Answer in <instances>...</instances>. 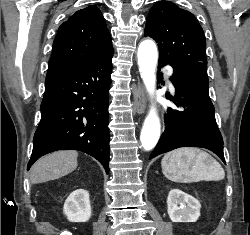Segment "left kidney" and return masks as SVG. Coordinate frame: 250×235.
Wrapping results in <instances>:
<instances>
[{"label":"left kidney","instance_id":"obj_1","mask_svg":"<svg viewBox=\"0 0 250 235\" xmlns=\"http://www.w3.org/2000/svg\"><path fill=\"white\" fill-rule=\"evenodd\" d=\"M167 212L172 222H196L200 216V202L182 190L172 189L167 198Z\"/></svg>","mask_w":250,"mask_h":235}]
</instances>
